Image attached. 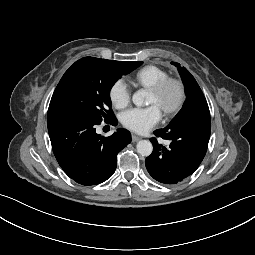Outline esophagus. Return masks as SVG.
Returning a JSON list of instances; mask_svg holds the SVG:
<instances>
[{
  "instance_id": "34e87169",
  "label": "esophagus",
  "mask_w": 255,
  "mask_h": 255,
  "mask_svg": "<svg viewBox=\"0 0 255 255\" xmlns=\"http://www.w3.org/2000/svg\"><path fill=\"white\" fill-rule=\"evenodd\" d=\"M141 138L137 135H132V142H137L139 141Z\"/></svg>"
}]
</instances>
